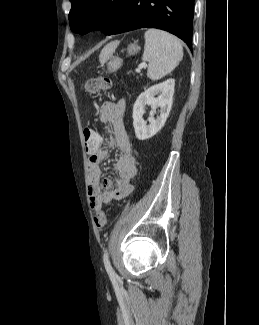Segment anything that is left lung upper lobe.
I'll list each match as a JSON object with an SVG mask.
<instances>
[{
  "instance_id": "obj_1",
  "label": "left lung upper lobe",
  "mask_w": 259,
  "mask_h": 325,
  "mask_svg": "<svg viewBox=\"0 0 259 325\" xmlns=\"http://www.w3.org/2000/svg\"><path fill=\"white\" fill-rule=\"evenodd\" d=\"M69 24L73 32L85 34L102 29L110 34L121 16L126 0H70Z\"/></svg>"
}]
</instances>
